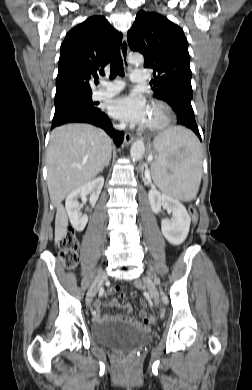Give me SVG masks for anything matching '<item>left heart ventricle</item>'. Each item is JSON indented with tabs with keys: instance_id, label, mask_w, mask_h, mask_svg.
<instances>
[{
	"instance_id": "obj_1",
	"label": "left heart ventricle",
	"mask_w": 252,
	"mask_h": 390,
	"mask_svg": "<svg viewBox=\"0 0 252 390\" xmlns=\"http://www.w3.org/2000/svg\"><path fill=\"white\" fill-rule=\"evenodd\" d=\"M161 118H162L161 111L150 107L146 125L157 123L158 121L161 120Z\"/></svg>"
}]
</instances>
